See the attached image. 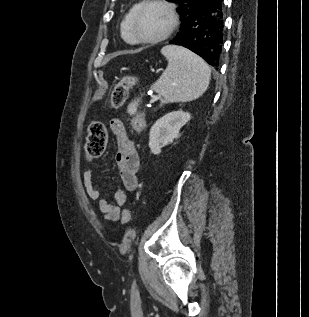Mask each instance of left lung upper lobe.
Returning <instances> with one entry per match:
<instances>
[{
    "label": "left lung upper lobe",
    "instance_id": "left-lung-upper-lobe-1",
    "mask_svg": "<svg viewBox=\"0 0 309 317\" xmlns=\"http://www.w3.org/2000/svg\"><path fill=\"white\" fill-rule=\"evenodd\" d=\"M178 4L177 12L179 13L182 24L188 16L206 0H168Z\"/></svg>",
    "mask_w": 309,
    "mask_h": 317
}]
</instances>
